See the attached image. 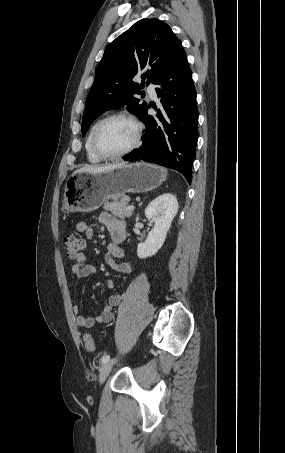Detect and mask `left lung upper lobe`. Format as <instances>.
Instances as JSON below:
<instances>
[{
	"label": "left lung upper lobe",
	"mask_w": 285,
	"mask_h": 453,
	"mask_svg": "<svg viewBox=\"0 0 285 453\" xmlns=\"http://www.w3.org/2000/svg\"><path fill=\"white\" fill-rule=\"evenodd\" d=\"M181 41L164 22L147 18L136 22L105 49L95 71L82 118L85 134L93 120L103 112L127 105L129 112L141 118L147 103H140L145 79L147 85L163 69L169 55ZM141 77L142 84L134 78Z\"/></svg>",
	"instance_id": "obj_1"
}]
</instances>
